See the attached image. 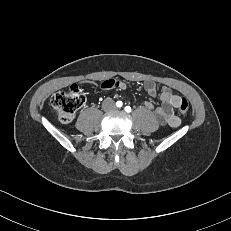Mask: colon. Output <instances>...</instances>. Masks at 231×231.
Returning a JSON list of instances; mask_svg holds the SVG:
<instances>
[{
	"mask_svg": "<svg viewBox=\"0 0 231 231\" xmlns=\"http://www.w3.org/2000/svg\"><path fill=\"white\" fill-rule=\"evenodd\" d=\"M85 96L77 85H72L68 90L56 92L51 99V106L60 122L70 123L76 112L84 105ZM178 109L181 113L189 110V103L186 98H182Z\"/></svg>",
	"mask_w": 231,
	"mask_h": 231,
	"instance_id": "obj_1",
	"label": "colon"
}]
</instances>
